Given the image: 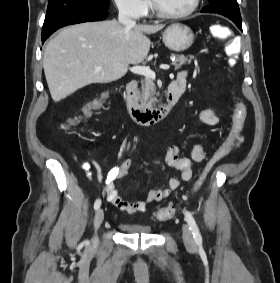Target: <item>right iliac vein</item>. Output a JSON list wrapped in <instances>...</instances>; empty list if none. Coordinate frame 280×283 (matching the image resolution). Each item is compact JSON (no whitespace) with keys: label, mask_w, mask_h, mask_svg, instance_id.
<instances>
[{"label":"right iliac vein","mask_w":280,"mask_h":283,"mask_svg":"<svg viewBox=\"0 0 280 283\" xmlns=\"http://www.w3.org/2000/svg\"><path fill=\"white\" fill-rule=\"evenodd\" d=\"M103 220H104V211L102 209H98L94 217V226L96 230L101 226ZM92 242L93 244H98L97 236L93 238Z\"/></svg>","instance_id":"obj_1"}]
</instances>
